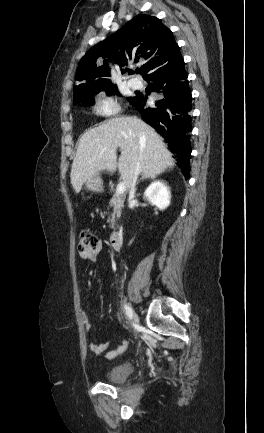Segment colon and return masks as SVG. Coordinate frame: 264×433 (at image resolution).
Wrapping results in <instances>:
<instances>
[{"label": "colon", "mask_w": 264, "mask_h": 433, "mask_svg": "<svg viewBox=\"0 0 264 433\" xmlns=\"http://www.w3.org/2000/svg\"><path fill=\"white\" fill-rule=\"evenodd\" d=\"M98 240L96 236L89 230H83L79 233L77 241V249L79 253H86L95 248Z\"/></svg>", "instance_id": "obj_1"}]
</instances>
